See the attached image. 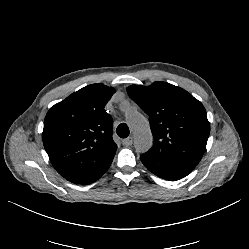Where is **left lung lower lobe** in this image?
Returning a JSON list of instances; mask_svg holds the SVG:
<instances>
[{
  "label": "left lung lower lobe",
  "instance_id": "1",
  "mask_svg": "<svg viewBox=\"0 0 249 249\" xmlns=\"http://www.w3.org/2000/svg\"><path fill=\"white\" fill-rule=\"evenodd\" d=\"M140 159L153 174L170 181L187 176L195 168V166L176 162L165 157L147 155L146 153L142 154Z\"/></svg>",
  "mask_w": 249,
  "mask_h": 249
}]
</instances>
